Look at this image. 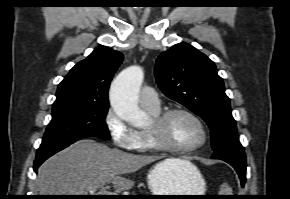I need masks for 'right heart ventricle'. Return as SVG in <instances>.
<instances>
[{
  "mask_svg": "<svg viewBox=\"0 0 290 199\" xmlns=\"http://www.w3.org/2000/svg\"><path fill=\"white\" fill-rule=\"evenodd\" d=\"M152 116H155L157 115L160 110H149V109H146ZM138 133V145L136 147V151L137 152H142V153H151V152H155V151H158L154 148L151 140H150V137H149V134L147 132V130H141Z\"/></svg>",
  "mask_w": 290,
  "mask_h": 199,
  "instance_id": "e07e8e85",
  "label": "right heart ventricle"
}]
</instances>
